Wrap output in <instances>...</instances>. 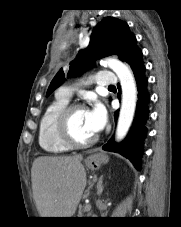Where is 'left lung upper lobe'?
<instances>
[{
  "mask_svg": "<svg viewBox=\"0 0 181 227\" xmlns=\"http://www.w3.org/2000/svg\"><path fill=\"white\" fill-rule=\"evenodd\" d=\"M136 45V37L130 32L126 22L113 17H105L92 32L90 43L79 51L76 59L70 63L69 76H75L93 65L94 61L109 55H118L125 61L130 50ZM61 69L55 75L47 90L48 97L65 80Z\"/></svg>",
  "mask_w": 181,
  "mask_h": 227,
  "instance_id": "1",
  "label": "left lung upper lobe"
}]
</instances>
